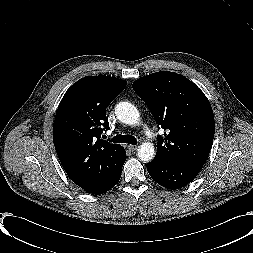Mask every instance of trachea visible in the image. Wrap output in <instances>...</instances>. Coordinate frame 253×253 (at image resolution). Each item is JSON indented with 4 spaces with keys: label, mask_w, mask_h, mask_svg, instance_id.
<instances>
[{
    "label": "trachea",
    "mask_w": 253,
    "mask_h": 253,
    "mask_svg": "<svg viewBox=\"0 0 253 253\" xmlns=\"http://www.w3.org/2000/svg\"><path fill=\"white\" fill-rule=\"evenodd\" d=\"M115 143H128L132 145L137 144V140L132 135H116L113 139H111Z\"/></svg>",
    "instance_id": "obj_1"
}]
</instances>
